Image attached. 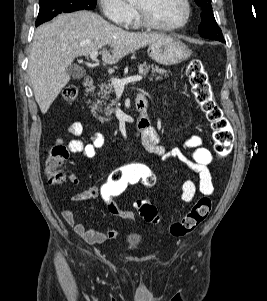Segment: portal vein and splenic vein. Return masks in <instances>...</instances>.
<instances>
[{"mask_svg":"<svg viewBox=\"0 0 267 301\" xmlns=\"http://www.w3.org/2000/svg\"><path fill=\"white\" fill-rule=\"evenodd\" d=\"M98 56V51H94L90 54L91 60H96ZM143 77L141 75H133L123 79L112 78L111 83L115 89H124V86L131 82L141 81Z\"/></svg>","mask_w":267,"mask_h":301,"instance_id":"1","label":"portal vein and splenic vein"}]
</instances>
